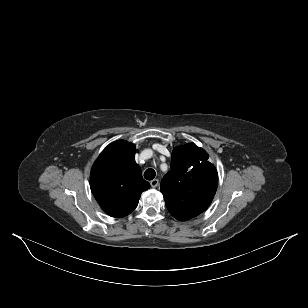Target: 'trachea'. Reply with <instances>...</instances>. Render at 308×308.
<instances>
[{"instance_id":"obj_1","label":"trachea","mask_w":308,"mask_h":308,"mask_svg":"<svg viewBox=\"0 0 308 308\" xmlns=\"http://www.w3.org/2000/svg\"><path fill=\"white\" fill-rule=\"evenodd\" d=\"M156 176V172L153 170V169H147L145 172H144V178L146 180H152L154 179Z\"/></svg>"}]
</instances>
